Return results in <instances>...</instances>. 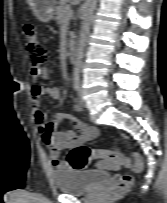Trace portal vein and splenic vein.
<instances>
[{
    "instance_id": "1",
    "label": "portal vein and splenic vein",
    "mask_w": 167,
    "mask_h": 203,
    "mask_svg": "<svg viewBox=\"0 0 167 203\" xmlns=\"http://www.w3.org/2000/svg\"><path fill=\"white\" fill-rule=\"evenodd\" d=\"M72 14H73L72 9H71V8H68V9L66 10V18L69 19V18L72 16Z\"/></svg>"
}]
</instances>
